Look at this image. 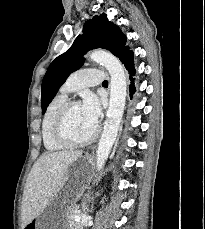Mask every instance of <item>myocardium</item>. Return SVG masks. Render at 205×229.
<instances>
[{"label": "myocardium", "mask_w": 205, "mask_h": 229, "mask_svg": "<svg viewBox=\"0 0 205 229\" xmlns=\"http://www.w3.org/2000/svg\"><path fill=\"white\" fill-rule=\"evenodd\" d=\"M80 105V103L76 100H68L66 101L58 110L54 124H53V137L54 139L64 147H81L92 142L99 133V125L96 124L92 133L83 140H73L66 135L65 126L67 116L70 110L74 107Z\"/></svg>", "instance_id": "myocardium-1"}]
</instances>
